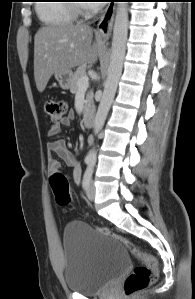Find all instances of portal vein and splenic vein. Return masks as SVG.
<instances>
[{
  "label": "portal vein and splenic vein",
  "mask_w": 195,
  "mask_h": 299,
  "mask_svg": "<svg viewBox=\"0 0 195 299\" xmlns=\"http://www.w3.org/2000/svg\"><path fill=\"white\" fill-rule=\"evenodd\" d=\"M79 89H86L89 86V78L87 76H83L78 81Z\"/></svg>",
  "instance_id": "18ae733b"
}]
</instances>
